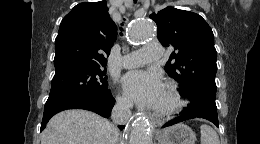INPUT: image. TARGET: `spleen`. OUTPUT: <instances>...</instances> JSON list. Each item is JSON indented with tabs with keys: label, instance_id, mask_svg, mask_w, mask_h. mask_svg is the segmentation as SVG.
<instances>
[{
	"label": "spleen",
	"instance_id": "3e777b00",
	"mask_svg": "<svg viewBox=\"0 0 260 144\" xmlns=\"http://www.w3.org/2000/svg\"><path fill=\"white\" fill-rule=\"evenodd\" d=\"M201 144H220L216 131L209 125L200 126Z\"/></svg>",
	"mask_w": 260,
	"mask_h": 144
}]
</instances>
